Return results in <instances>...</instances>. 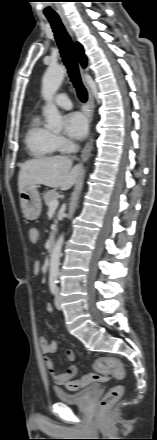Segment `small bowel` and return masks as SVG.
<instances>
[{
    "label": "small bowel",
    "mask_w": 157,
    "mask_h": 440,
    "mask_svg": "<svg viewBox=\"0 0 157 440\" xmlns=\"http://www.w3.org/2000/svg\"><path fill=\"white\" fill-rule=\"evenodd\" d=\"M34 276H36L40 271V264L39 262H35L34 267ZM45 310L47 313H52V306L50 304H47L45 307ZM39 344L41 347V351L44 355V364L47 369V371L50 373L53 382L56 385H64L67 381L74 378L77 374V367L75 365H70L66 372L58 374L55 371L52 355L56 351V341L55 340H47L45 337L41 336L39 338ZM66 357L68 360L73 361L75 359V354L73 350L68 349L65 352Z\"/></svg>",
    "instance_id": "obj_1"
}]
</instances>
